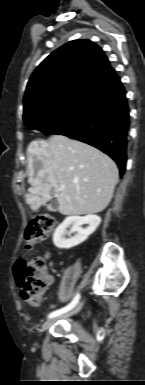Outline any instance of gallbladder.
<instances>
[{
	"mask_svg": "<svg viewBox=\"0 0 145 385\" xmlns=\"http://www.w3.org/2000/svg\"><path fill=\"white\" fill-rule=\"evenodd\" d=\"M47 208H48L50 211L56 212L57 209H58V201H57V199L52 198V199L50 200L49 204L47 205Z\"/></svg>",
	"mask_w": 145,
	"mask_h": 385,
	"instance_id": "gallbladder-1",
	"label": "gallbladder"
}]
</instances>
